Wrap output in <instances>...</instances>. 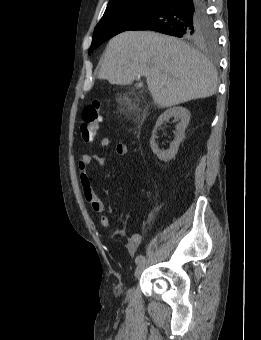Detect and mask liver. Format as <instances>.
I'll return each instance as SVG.
<instances>
[{"label":"liver","mask_w":261,"mask_h":340,"mask_svg":"<svg viewBox=\"0 0 261 340\" xmlns=\"http://www.w3.org/2000/svg\"><path fill=\"white\" fill-rule=\"evenodd\" d=\"M140 76L161 108L210 97L217 90L215 67L180 39L151 31L116 35L106 47L98 78L130 85Z\"/></svg>","instance_id":"liver-1"}]
</instances>
